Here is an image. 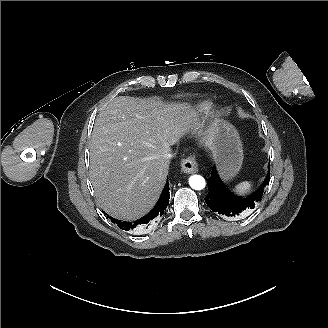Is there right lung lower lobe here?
<instances>
[{
    "label": "right lung lower lobe",
    "mask_w": 328,
    "mask_h": 328,
    "mask_svg": "<svg viewBox=\"0 0 328 328\" xmlns=\"http://www.w3.org/2000/svg\"><path fill=\"white\" fill-rule=\"evenodd\" d=\"M169 189L170 188L167 181L157 204L152 209V211L149 212L143 218L136 220L134 222H127V221H120L110 217L111 222L115 223L120 229L125 231L132 230L135 228L137 229L147 228L151 223L157 222V220L160 219V217L164 214V211L167 208V205L169 204V198H170Z\"/></svg>",
    "instance_id": "obj_1"
}]
</instances>
